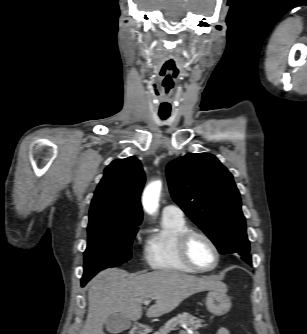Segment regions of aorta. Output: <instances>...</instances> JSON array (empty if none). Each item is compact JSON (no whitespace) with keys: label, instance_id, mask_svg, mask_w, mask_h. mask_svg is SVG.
<instances>
[{"label":"aorta","instance_id":"1","mask_svg":"<svg viewBox=\"0 0 307 334\" xmlns=\"http://www.w3.org/2000/svg\"><path fill=\"white\" fill-rule=\"evenodd\" d=\"M162 183L160 180L151 182L143 192L142 204L144 210L149 214H154L159 206V197Z\"/></svg>","mask_w":307,"mask_h":334}]
</instances>
